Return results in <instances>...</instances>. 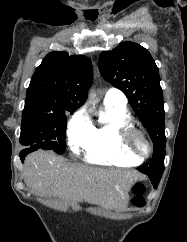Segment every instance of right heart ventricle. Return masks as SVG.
<instances>
[{"label":"right heart ventricle","mask_w":187,"mask_h":242,"mask_svg":"<svg viewBox=\"0 0 187 242\" xmlns=\"http://www.w3.org/2000/svg\"><path fill=\"white\" fill-rule=\"evenodd\" d=\"M91 123V135L83 148L84 160L90 164L101 166L131 167L141 162L127 155L118 142V130L132 123L126 105L103 104L95 122Z\"/></svg>","instance_id":"1"}]
</instances>
